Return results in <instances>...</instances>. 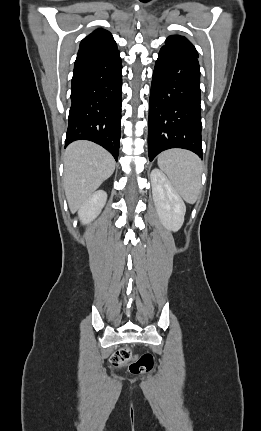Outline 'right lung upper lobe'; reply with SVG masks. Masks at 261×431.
<instances>
[{
    "instance_id": "obj_1",
    "label": "right lung upper lobe",
    "mask_w": 261,
    "mask_h": 431,
    "mask_svg": "<svg viewBox=\"0 0 261 431\" xmlns=\"http://www.w3.org/2000/svg\"><path fill=\"white\" fill-rule=\"evenodd\" d=\"M114 49H117V45L111 33L104 29H97L81 41L78 54L89 51H109Z\"/></svg>"
}]
</instances>
